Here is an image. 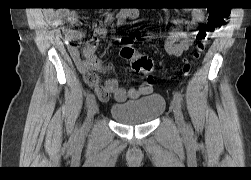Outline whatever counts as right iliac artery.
<instances>
[{"label": "right iliac artery", "mask_w": 251, "mask_h": 180, "mask_svg": "<svg viewBox=\"0 0 251 180\" xmlns=\"http://www.w3.org/2000/svg\"><path fill=\"white\" fill-rule=\"evenodd\" d=\"M95 101V96L93 93H88L86 98V107H89Z\"/></svg>", "instance_id": "obj_1"}]
</instances>
